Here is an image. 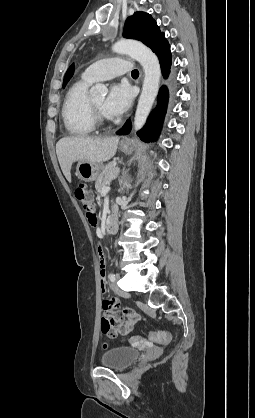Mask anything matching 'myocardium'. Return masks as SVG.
Instances as JSON below:
<instances>
[{"mask_svg":"<svg viewBox=\"0 0 255 418\" xmlns=\"http://www.w3.org/2000/svg\"><path fill=\"white\" fill-rule=\"evenodd\" d=\"M90 109L95 125H105L107 123L106 117L104 116L102 111L97 106H95L91 99Z\"/></svg>","mask_w":255,"mask_h":418,"instance_id":"obj_1","label":"myocardium"}]
</instances>
